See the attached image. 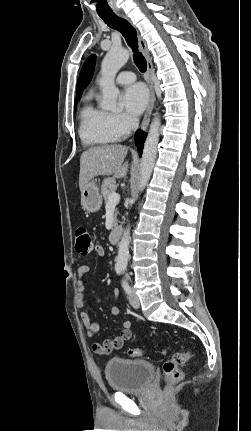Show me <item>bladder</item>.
<instances>
[{
  "mask_svg": "<svg viewBox=\"0 0 251 431\" xmlns=\"http://www.w3.org/2000/svg\"><path fill=\"white\" fill-rule=\"evenodd\" d=\"M154 365L145 360L114 358L105 365V377L110 388L122 393H139L153 379Z\"/></svg>",
  "mask_w": 251,
  "mask_h": 431,
  "instance_id": "1",
  "label": "bladder"
}]
</instances>
